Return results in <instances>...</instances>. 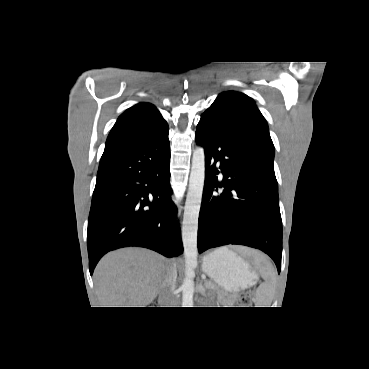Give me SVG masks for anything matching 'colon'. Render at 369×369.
Masks as SVG:
<instances>
[{
    "mask_svg": "<svg viewBox=\"0 0 369 369\" xmlns=\"http://www.w3.org/2000/svg\"><path fill=\"white\" fill-rule=\"evenodd\" d=\"M240 301L243 305H249L251 303V295L250 294L243 295L240 298Z\"/></svg>",
    "mask_w": 369,
    "mask_h": 369,
    "instance_id": "colon-1",
    "label": "colon"
}]
</instances>
